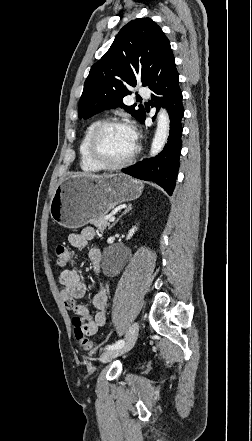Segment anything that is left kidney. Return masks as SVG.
Wrapping results in <instances>:
<instances>
[{
	"label": "left kidney",
	"mask_w": 252,
	"mask_h": 441,
	"mask_svg": "<svg viewBox=\"0 0 252 441\" xmlns=\"http://www.w3.org/2000/svg\"><path fill=\"white\" fill-rule=\"evenodd\" d=\"M136 230H137V227H136V226L132 227V228L129 230L126 239L129 240V239L133 236V234L135 233Z\"/></svg>",
	"instance_id": "left-kidney-1"
}]
</instances>
